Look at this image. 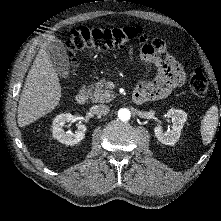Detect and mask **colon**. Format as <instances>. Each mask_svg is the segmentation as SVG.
<instances>
[{
    "label": "colon",
    "mask_w": 221,
    "mask_h": 221,
    "mask_svg": "<svg viewBox=\"0 0 221 221\" xmlns=\"http://www.w3.org/2000/svg\"><path fill=\"white\" fill-rule=\"evenodd\" d=\"M142 35L140 27L124 28H91L86 26L70 30L66 46L68 52L73 56L77 51L84 49L110 50L126 46L136 37ZM192 92L203 97L208 92V81L200 69H196L190 79Z\"/></svg>",
    "instance_id": "1"
}]
</instances>
